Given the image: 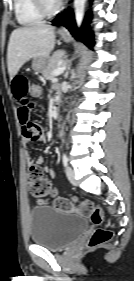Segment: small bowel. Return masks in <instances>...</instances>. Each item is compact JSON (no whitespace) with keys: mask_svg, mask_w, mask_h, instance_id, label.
I'll return each instance as SVG.
<instances>
[{"mask_svg":"<svg viewBox=\"0 0 134 281\" xmlns=\"http://www.w3.org/2000/svg\"><path fill=\"white\" fill-rule=\"evenodd\" d=\"M29 86L30 81L23 74H16L11 80L12 94L18 104V119L22 126V134L27 141L44 143L46 138L41 129L30 120L33 102L29 95ZM25 158L29 167L33 165L39 166L43 163V159L38 155L31 156L26 153ZM44 172L51 178L55 176L54 170L49 167H45Z\"/></svg>","mask_w":134,"mask_h":281,"instance_id":"c3829d8e","label":"small bowel"}]
</instances>
